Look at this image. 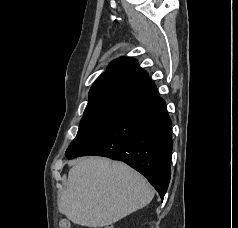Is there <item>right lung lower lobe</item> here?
Returning <instances> with one entry per match:
<instances>
[{
	"instance_id": "right-lung-lower-lobe-1",
	"label": "right lung lower lobe",
	"mask_w": 238,
	"mask_h": 228,
	"mask_svg": "<svg viewBox=\"0 0 238 228\" xmlns=\"http://www.w3.org/2000/svg\"><path fill=\"white\" fill-rule=\"evenodd\" d=\"M172 148L171 120L164 100L157 97L121 115L66 157L121 160L145 176L163 198L170 181Z\"/></svg>"
}]
</instances>
